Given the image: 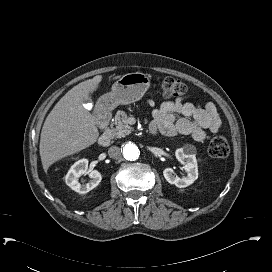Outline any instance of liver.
Wrapping results in <instances>:
<instances>
[{
  "label": "liver",
  "mask_w": 272,
  "mask_h": 272,
  "mask_svg": "<svg viewBox=\"0 0 272 272\" xmlns=\"http://www.w3.org/2000/svg\"><path fill=\"white\" fill-rule=\"evenodd\" d=\"M120 76L114 77V79ZM97 75L69 90L47 116L40 136L39 152L45 171L56 161L73 155L91 145L99 136L94 116L83 106L99 87Z\"/></svg>",
  "instance_id": "liver-1"
}]
</instances>
